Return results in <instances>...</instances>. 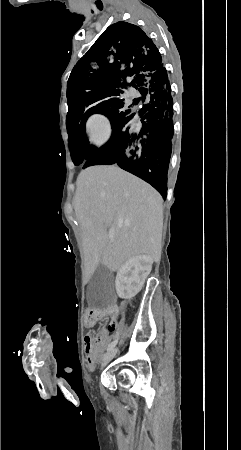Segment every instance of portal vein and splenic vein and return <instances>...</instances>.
<instances>
[{"label":"portal vein and splenic vein","mask_w":241,"mask_h":450,"mask_svg":"<svg viewBox=\"0 0 241 450\" xmlns=\"http://www.w3.org/2000/svg\"><path fill=\"white\" fill-rule=\"evenodd\" d=\"M108 236H109V238H114L113 232H109Z\"/></svg>","instance_id":"1"}]
</instances>
